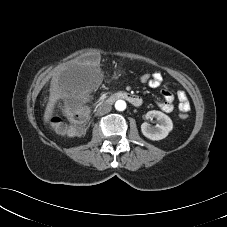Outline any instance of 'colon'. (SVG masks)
I'll list each match as a JSON object with an SVG mask.
<instances>
[{
  "label": "colon",
  "instance_id": "5ec220e1",
  "mask_svg": "<svg viewBox=\"0 0 227 227\" xmlns=\"http://www.w3.org/2000/svg\"><path fill=\"white\" fill-rule=\"evenodd\" d=\"M153 79L152 73H142L139 75V81L143 84L149 85ZM71 123H66L60 117H53L51 120L54 130L62 135L72 136L79 133L84 125L87 117V109L85 107H75L69 111ZM180 117L186 119L188 117L186 112H181Z\"/></svg>",
  "mask_w": 227,
  "mask_h": 227
}]
</instances>
